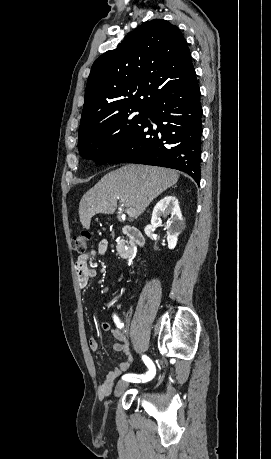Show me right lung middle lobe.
Masks as SVG:
<instances>
[{"label": "right lung middle lobe", "mask_w": 271, "mask_h": 459, "mask_svg": "<svg viewBox=\"0 0 271 459\" xmlns=\"http://www.w3.org/2000/svg\"><path fill=\"white\" fill-rule=\"evenodd\" d=\"M147 110L148 106L142 105L122 113L81 122L78 137L80 155L99 165L108 163L144 122ZM136 111L139 115H132Z\"/></svg>", "instance_id": "dd1d6c3e"}]
</instances>
